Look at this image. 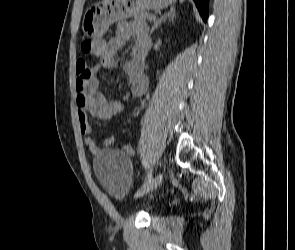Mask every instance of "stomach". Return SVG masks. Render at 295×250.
<instances>
[{
  "label": "stomach",
  "instance_id": "obj_1",
  "mask_svg": "<svg viewBox=\"0 0 295 250\" xmlns=\"http://www.w3.org/2000/svg\"><path fill=\"white\" fill-rule=\"evenodd\" d=\"M174 2L175 0H102L86 10L82 29L88 37H101L116 21L147 10L163 9Z\"/></svg>",
  "mask_w": 295,
  "mask_h": 250
}]
</instances>
